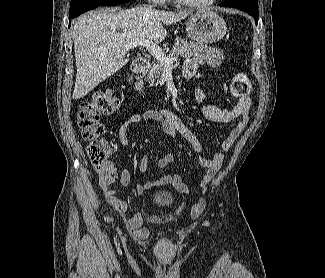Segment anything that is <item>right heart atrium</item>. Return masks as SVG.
Here are the masks:
<instances>
[{
    "label": "right heart atrium",
    "mask_w": 325,
    "mask_h": 278,
    "mask_svg": "<svg viewBox=\"0 0 325 278\" xmlns=\"http://www.w3.org/2000/svg\"><path fill=\"white\" fill-rule=\"evenodd\" d=\"M149 1H151V2H153V3H158V4H160V3L165 2L166 0H149Z\"/></svg>",
    "instance_id": "obj_1"
}]
</instances>
